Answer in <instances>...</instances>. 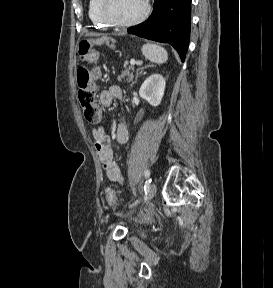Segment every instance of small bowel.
Instances as JSON below:
<instances>
[{"label": "small bowel", "mask_w": 273, "mask_h": 288, "mask_svg": "<svg viewBox=\"0 0 273 288\" xmlns=\"http://www.w3.org/2000/svg\"><path fill=\"white\" fill-rule=\"evenodd\" d=\"M122 90L117 85H111L100 93L99 99L103 106H110L113 99H121ZM95 147L103 164L104 171L109 180L123 183L119 165L115 159L114 150L110 144V139L106 128L98 125L93 129ZM115 137L118 143L124 144L128 141V130L122 123L118 124Z\"/></svg>", "instance_id": "1"}]
</instances>
